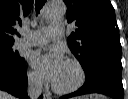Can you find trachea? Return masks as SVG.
Masks as SVG:
<instances>
[{
  "instance_id": "3493384b",
  "label": "trachea",
  "mask_w": 128,
  "mask_h": 99,
  "mask_svg": "<svg viewBox=\"0 0 128 99\" xmlns=\"http://www.w3.org/2000/svg\"><path fill=\"white\" fill-rule=\"evenodd\" d=\"M46 0H36L35 1V10L36 13L38 14L41 10V8L43 7V5L45 4Z\"/></svg>"
}]
</instances>
